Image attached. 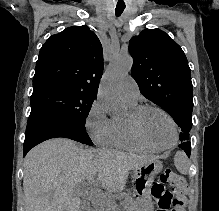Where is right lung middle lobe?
Wrapping results in <instances>:
<instances>
[{"instance_id": "obj_1", "label": "right lung middle lobe", "mask_w": 219, "mask_h": 211, "mask_svg": "<svg viewBox=\"0 0 219 211\" xmlns=\"http://www.w3.org/2000/svg\"><path fill=\"white\" fill-rule=\"evenodd\" d=\"M95 98V95L52 85L32 93L31 113L47 112L85 128Z\"/></svg>"}]
</instances>
